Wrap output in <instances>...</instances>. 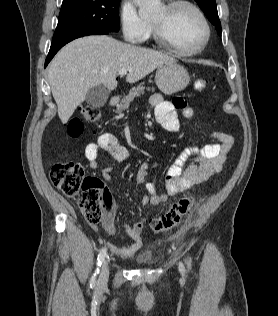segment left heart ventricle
<instances>
[{
    "instance_id": "b2bd125f",
    "label": "left heart ventricle",
    "mask_w": 278,
    "mask_h": 316,
    "mask_svg": "<svg viewBox=\"0 0 278 316\" xmlns=\"http://www.w3.org/2000/svg\"><path fill=\"white\" fill-rule=\"evenodd\" d=\"M152 21L163 23L173 41L183 49L192 50L200 46L204 37V26L197 14L182 6L171 14L161 7Z\"/></svg>"
}]
</instances>
